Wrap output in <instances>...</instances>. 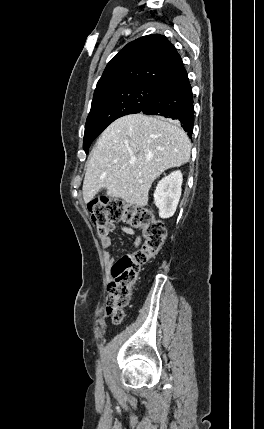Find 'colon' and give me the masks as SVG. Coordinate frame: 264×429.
Listing matches in <instances>:
<instances>
[{"label":"colon","instance_id":"colon-1","mask_svg":"<svg viewBox=\"0 0 264 429\" xmlns=\"http://www.w3.org/2000/svg\"><path fill=\"white\" fill-rule=\"evenodd\" d=\"M91 220L98 233L112 221L124 220L142 230L143 244L136 251L126 254L111 267L112 280L107 288V316L115 324L124 317L133 288L142 270L158 253L166 235L164 224L143 208H131L118 199L102 198L90 206Z\"/></svg>","mask_w":264,"mask_h":429}]
</instances>
